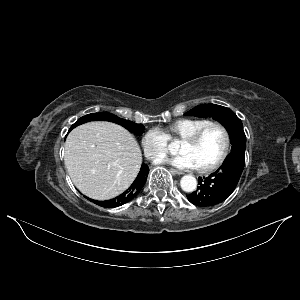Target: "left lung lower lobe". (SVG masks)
<instances>
[{"instance_id": "obj_1", "label": "left lung lower lobe", "mask_w": 300, "mask_h": 300, "mask_svg": "<svg viewBox=\"0 0 300 300\" xmlns=\"http://www.w3.org/2000/svg\"><path fill=\"white\" fill-rule=\"evenodd\" d=\"M245 165V154L230 153L222 166L208 177H199L197 191L187 195L200 207H210L226 200L236 188Z\"/></svg>"}]
</instances>
